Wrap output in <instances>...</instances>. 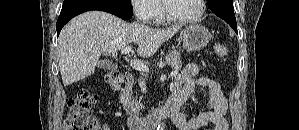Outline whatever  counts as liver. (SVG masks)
I'll return each instance as SVG.
<instances>
[{"label": "liver", "mask_w": 299, "mask_h": 130, "mask_svg": "<svg viewBox=\"0 0 299 130\" xmlns=\"http://www.w3.org/2000/svg\"><path fill=\"white\" fill-rule=\"evenodd\" d=\"M179 30V26L156 29L139 23L127 24L102 11L80 14L64 26L58 40L63 84L68 86L92 75L101 54H115L132 42L137 45L139 56L149 58Z\"/></svg>", "instance_id": "6515ba94"}]
</instances>
